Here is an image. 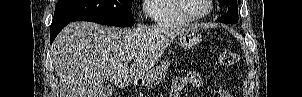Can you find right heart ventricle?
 <instances>
[{
	"label": "right heart ventricle",
	"instance_id": "right-heart-ventricle-1",
	"mask_svg": "<svg viewBox=\"0 0 302 97\" xmlns=\"http://www.w3.org/2000/svg\"><path fill=\"white\" fill-rule=\"evenodd\" d=\"M145 12L159 26H186L190 23L177 10L175 0H147Z\"/></svg>",
	"mask_w": 302,
	"mask_h": 97
}]
</instances>
